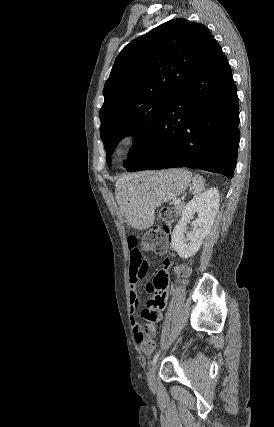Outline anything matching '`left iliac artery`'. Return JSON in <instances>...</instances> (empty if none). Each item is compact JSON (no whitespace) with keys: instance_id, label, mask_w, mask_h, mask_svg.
Returning a JSON list of instances; mask_svg holds the SVG:
<instances>
[{"instance_id":"left-iliac-artery-1","label":"left iliac artery","mask_w":274,"mask_h":427,"mask_svg":"<svg viewBox=\"0 0 274 427\" xmlns=\"http://www.w3.org/2000/svg\"><path fill=\"white\" fill-rule=\"evenodd\" d=\"M159 355H160V350H159V351H157V352H156V354L154 355L153 360H152V362H151V365H154V364L156 363V361H157V360H158V358H159Z\"/></svg>"}]
</instances>
